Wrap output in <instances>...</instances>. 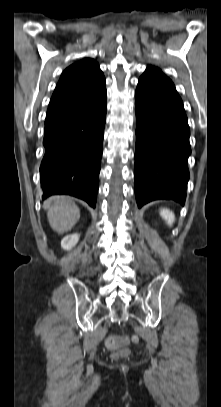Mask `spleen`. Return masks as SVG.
Masks as SVG:
<instances>
[{
  "instance_id": "3e777b00",
  "label": "spleen",
  "mask_w": 221,
  "mask_h": 407,
  "mask_svg": "<svg viewBox=\"0 0 221 407\" xmlns=\"http://www.w3.org/2000/svg\"><path fill=\"white\" fill-rule=\"evenodd\" d=\"M160 215L167 222V224L169 226H171L175 221V215L169 209H166V208L161 209L160 210Z\"/></svg>"
}]
</instances>
